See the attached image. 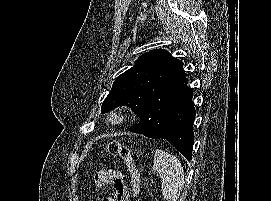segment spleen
<instances>
[{
  "instance_id": "obj_1",
  "label": "spleen",
  "mask_w": 271,
  "mask_h": 201,
  "mask_svg": "<svg viewBox=\"0 0 271 201\" xmlns=\"http://www.w3.org/2000/svg\"><path fill=\"white\" fill-rule=\"evenodd\" d=\"M152 169L161 175V192L164 199L177 201L185 183L181 162L175 156L156 149Z\"/></svg>"
}]
</instances>
